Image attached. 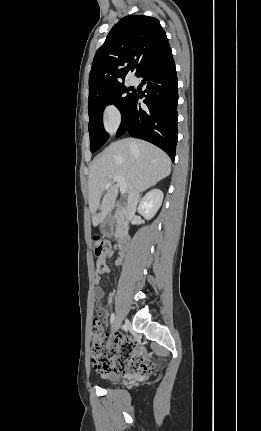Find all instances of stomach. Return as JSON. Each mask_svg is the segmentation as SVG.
<instances>
[{
  "mask_svg": "<svg viewBox=\"0 0 261 431\" xmlns=\"http://www.w3.org/2000/svg\"><path fill=\"white\" fill-rule=\"evenodd\" d=\"M100 231L105 236H112L114 233V223L113 220L107 219L100 225Z\"/></svg>",
  "mask_w": 261,
  "mask_h": 431,
  "instance_id": "obj_1",
  "label": "stomach"
}]
</instances>
